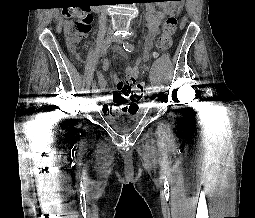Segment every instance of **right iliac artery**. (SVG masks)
<instances>
[{"mask_svg": "<svg viewBox=\"0 0 255 218\" xmlns=\"http://www.w3.org/2000/svg\"><path fill=\"white\" fill-rule=\"evenodd\" d=\"M111 44V39L110 38H106L103 42H102V52L106 53V51L108 50L109 46ZM97 86L95 84H93L92 86V91H97Z\"/></svg>", "mask_w": 255, "mask_h": 218, "instance_id": "obj_1", "label": "right iliac artery"}]
</instances>
